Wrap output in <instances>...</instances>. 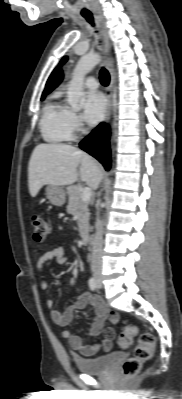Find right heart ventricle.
Returning a JSON list of instances; mask_svg holds the SVG:
<instances>
[{"label":"right heart ventricle","mask_w":182,"mask_h":399,"mask_svg":"<svg viewBox=\"0 0 182 399\" xmlns=\"http://www.w3.org/2000/svg\"><path fill=\"white\" fill-rule=\"evenodd\" d=\"M70 109L62 102L52 99L43 108L40 129L43 138L52 143L69 141L73 132L69 123Z\"/></svg>","instance_id":"right-heart-ventricle-1"}]
</instances>
